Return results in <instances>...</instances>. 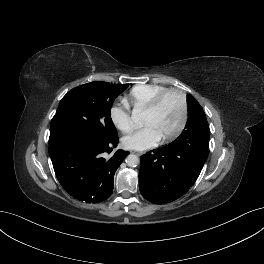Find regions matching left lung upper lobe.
<instances>
[{"mask_svg": "<svg viewBox=\"0 0 264 264\" xmlns=\"http://www.w3.org/2000/svg\"><path fill=\"white\" fill-rule=\"evenodd\" d=\"M187 105H188V120L185 126V130L196 131L203 126L208 125L203 108L199 105L196 99L190 94L187 95ZM184 131L182 132V134L184 133ZM180 136L177 139H179ZM177 139L175 141H177Z\"/></svg>", "mask_w": 264, "mask_h": 264, "instance_id": "5c2ea615", "label": "left lung upper lobe"}]
</instances>
